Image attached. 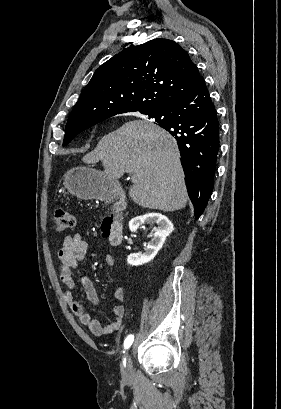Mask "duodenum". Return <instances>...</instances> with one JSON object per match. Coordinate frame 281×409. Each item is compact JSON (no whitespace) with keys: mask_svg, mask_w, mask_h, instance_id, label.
Listing matches in <instances>:
<instances>
[{"mask_svg":"<svg viewBox=\"0 0 281 409\" xmlns=\"http://www.w3.org/2000/svg\"><path fill=\"white\" fill-rule=\"evenodd\" d=\"M116 197L120 200L116 201L113 210L101 222V230L110 243L117 247L123 239V223L121 219L122 212L125 210L126 202L123 200L125 192L118 190Z\"/></svg>","mask_w":281,"mask_h":409,"instance_id":"obj_1","label":"duodenum"}]
</instances>
